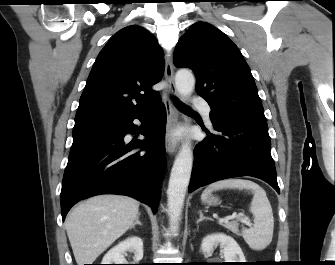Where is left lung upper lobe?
<instances>
[{
	"mask_svg": "<svg viewBox=\"0 0 335 265\" xmlns=\"http://www.w3.org/2000/svg\"><path fill=\"white\" fill-rule=\"evenodd\" d=\"M173 62L194 72L196 92L212 112L268 134L251 70L223 32L206 22L193 24L178 41Z\"/></svg>",
	"mask_w": 335,
	"mask_h": 265,
	"instance_id": "5c2ea615",
	"label": "left lung upper lobe"
}]
</instances>
